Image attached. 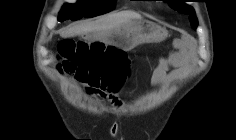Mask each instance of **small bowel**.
Here are the masks:
<instances>
[{"label":"small bowel","instance_id":"c3829d8e","mask_svg":"<svg viewBox=\"0 0 236 140\" xmlns=\"http://www.w3.org/2000/svg\"><path fill=\"white\" fill-rule=\"evenodd\" d=\"M174 47L175 51L160 59L157 67L154 69L151 78V82L154 86H170L184 74V71L189 66L190 58L183 41L175 40ZM113 101L116 105H119L117 99Z\"/></svg>","mask_w":236,"mask_h":140}]
</instances>
